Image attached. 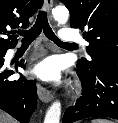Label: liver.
<instances>
[{"label":"liver","mask_w":118,"mask_h":123,"mask_svg":"<svg viewBox=\"0 0 118 123\" xmlns=\"http://www.w3.org/2000/svg\"><path fill=\"white\" fill-rule=\"evenodd\" d=\"M0 123H15L14 119L0 110Z\"/></svg>","instance_id":"liver-1"}]
</instances>
